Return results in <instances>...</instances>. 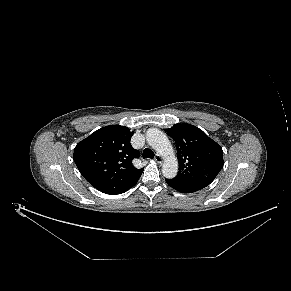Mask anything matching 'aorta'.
I'll return each mask as SVG.
<instances>
[{"instance_id": "1", "label": "aorta", "mask_w": 291, "mask_h": 291, "mask_svg": "<svg viewBox=\"0 0 291 291\" xmlns=\"http://www.w3.org/2000/svg\"><path fill=\"white\" fill-rule=\"evenodd\" d=\"M147 143L164 159L162 166L163 176L172 179L178 173V162L174 154L171 142L165 133L156 128H150L146 132Z\"/></svg>"}]
</instances>
